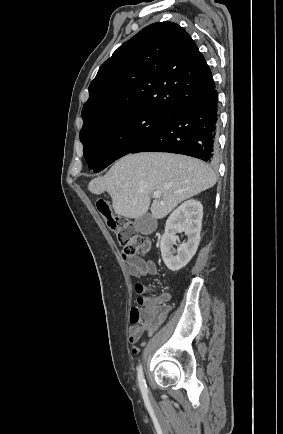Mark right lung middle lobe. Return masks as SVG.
Instances as JSON below:
<instances>
[{
  "label": "right lung middle lobe",
  "instance_id": "1",
  "mask_svg": "<svg viewBox=\"0 0 283 434\" xmlns=\"http://www.w3.org/2000/svg\"><path fill=\"white\" fill-rule=\"evenodd\" d=\"M170 115L151 110L132 111L80 131L83 154L89 168L99 172L130 153Z\"/></svg>",
  "mask_w": 283,
  "mask_h": 434
}]
</instances>
